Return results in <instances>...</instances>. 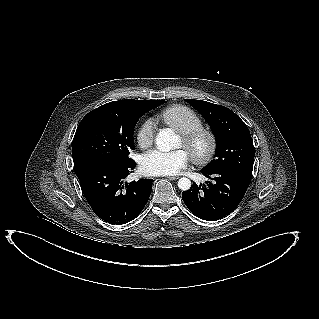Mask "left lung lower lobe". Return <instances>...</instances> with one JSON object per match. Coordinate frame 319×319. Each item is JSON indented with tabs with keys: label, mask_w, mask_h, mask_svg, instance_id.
I'll use <instances>...</instances> for the list:
<instances>
[{
	"label": "left lung lower lobe",
	"mask_w": 319,
	"mask_h": 319,
	"mask_svg": "<svg viewBox=\"0 0 319 319\" xmlns=\"http://www.w3.org/2000/svg\"><path fill=\"white\" fill-rule=\"evenodd\" d=\"M213 182L197 185L182 192L188 209L200 219L218 220L233 212L242 201L251 178L234 170H201Z\"/></svg>",
	"instance_id": "left-lung-lower-lobe-1"
}]
</instances>
